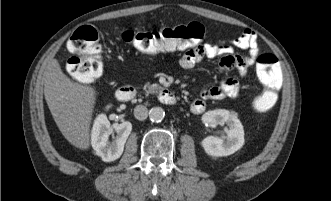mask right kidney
<instances>
[{"label":"right kidney","instance_id":"ca27d5eb","mask_svg":"<svg viewBox=\"0 0 331 201\" xmlns=\"http://www.w3.org/2000/svg\"><path fill=\"white\" fill-rule=\"evenodd\" d=\"M107 108H110V106H107ZM131 130L132 124L128 121L111 125L105 114L98 115L91 133V144L96 155L100 156L105 162L120 158ZM114 132L117 135L110 141L109 136Z\"/></svg>","mask_w":331,"mask_h":201}]
</instances>
